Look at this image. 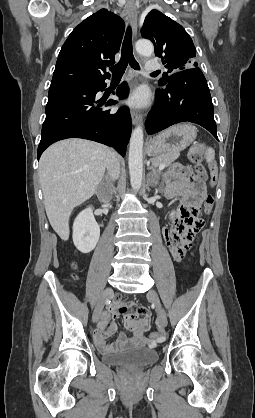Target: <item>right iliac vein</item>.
<instances>
[{
    "instance_id": "right-iliac-vein-1",
    "label": "right iliac vein",
    "mask_w": 255,
    "mask_h": 418,
    "mask_svg": "<svg viewBox=\"0 0 255 418\" xmlns=\"http://www.w3.org/2000/svg\"><path fill=\"white\" fill-rule=\"evenodd\" d=\"M112 294H113V290L111 288H107L104 291V293L102 294L101 298L99 299V301H98V303L95 307V310H94V313H93V322L98 321V319H99V317L102 313V310L104 308L105 303L111 298Z\"/></svg>"
}]
</instances>
